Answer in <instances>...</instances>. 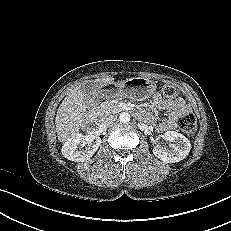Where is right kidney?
Segmentation results:
<instances>
[{"label":"right kidney","instance_id":"right-kidney-1","mask_svg":"<svg viewBox=\"0 0 231 231\" xmlns=\"http://www.w3.org/2000/svg\"><path fill=\"white\" fill-rule=\"evenodd\" d=\"M101 144V138L93 134L77 133L62 146V154L68 160L84 162L89 160Z\"/></svg>","mask_w":231,"mask_h":231}]
</instances>
